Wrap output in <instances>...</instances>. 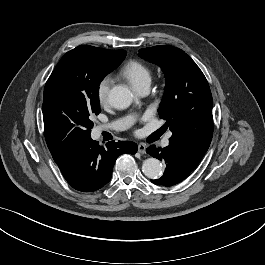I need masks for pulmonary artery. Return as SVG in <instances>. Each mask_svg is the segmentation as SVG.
I'll return each instance as SVG.
<instances>
[{
	"label": "pulmonary artery",
	"instance_id": "1",
	"mask_svg": "<svg viewBox=\"0 0 265 265\" xmlns=\"http://www.w3.org/2000/svg\"><path fill=\"white\" fill-rule=\"evenodd\" d=\"M149 91L148 87H144L140 90H138L139 94L141 95H146ZM132 123V119L131 118H124V119H120V120H116L110 124L107 125H102L100 127H98L97 131L101 132V131H105V130H115V131H119V130H124L126 128H128ZM163 146H168L169 145V141L166 138L163 141Z\"/></svg>",
	"mask_w": 265,
	"mask_h": 265
}]
</instances>
